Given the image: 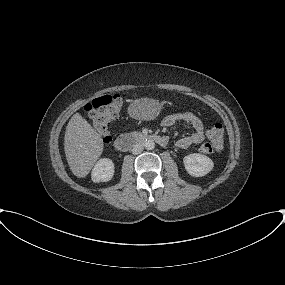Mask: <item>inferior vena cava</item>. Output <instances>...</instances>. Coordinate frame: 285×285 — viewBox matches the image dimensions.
<instances>
[{
	"label": "inferior vena cava",
	"instance_id": "obj_1",
	"mask_svg": "<svg viewBox=\"0 0 285 285\" xmlns=\"http://www.w3.org/2000/svg\"><path fill=\"white\" fill-rule=\"evenodd\" d=\"M143 149H144L143 144H141V143L135 144L132 148V153L134 155H138L143 151Z\"/></svg>",
	"mask_w": 285,
	"mask_h": 285
}]
</instances>
